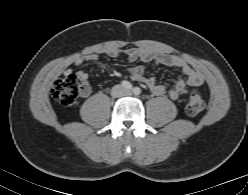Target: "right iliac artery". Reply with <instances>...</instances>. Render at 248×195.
Masks as SVG:
<instances>
[{"mask_svg": "<svg viewBox=\"0 0 248 195\" xmlns=\"http://www.w3.org/2000/svg\"><path fill=\"white\" fill-rule=\"evenodd\" d=\"M121 85L128 90L133 89V85L129 81L123 80Z\"/></svg>", "mask_w": 248, "mask_h": 195, "instance_id": "right-iliac-artery-1", "label": "right iliac artery"}]
</instances>
